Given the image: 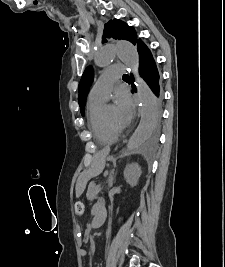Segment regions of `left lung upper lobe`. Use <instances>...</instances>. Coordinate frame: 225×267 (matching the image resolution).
Instances as JSON below:
<instances>
[{"mask_svg":"<svg viewBox=\"0 0 225 267\" xmlns=\"http://www.w3.org/2000/svg\"><path fill=\"white\" fill-rule=\"evenodd\" d=\"M105 36H110L115 39L128 40L134 45H137L138 41L140 40L137 39L136 31L131 26H128L126 23L118 19L110 20L108 23L105 24L104 36L102 40L103 43L106 42ZM92 80H93V70L92 67L89 66L84 71L78 86V91H79L78 102L82 115H84V106L86 103V98L89 92V88L92 84ZM160 117H161V107L157 105L156 123H155L156 126L159 124Z\"/></svg>","mask_w":225,"mask_h":267,"instance_id":"5c2ea615","label":"left lung upper lobe"}]
</instances>
